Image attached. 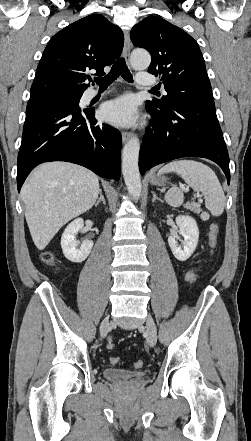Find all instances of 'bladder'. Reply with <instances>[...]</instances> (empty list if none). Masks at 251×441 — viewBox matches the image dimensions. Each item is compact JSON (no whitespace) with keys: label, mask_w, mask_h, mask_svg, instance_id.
<instances>
[{"label":"bladder","mask_w":251,"mask_h":441,"mask_svg":"<svg viewBox=\"0 0 251 441\" xmlns=\"http://www.w3.org/2000/svg\"><path fill=\"white\" fill-rule=\"evenodd\" d=\"M144 371H131L120 368H106L103 370V376L111 381L139 379L145 376Z\"/></svg>","instance_id":"bladder-1"}]
</instances>
